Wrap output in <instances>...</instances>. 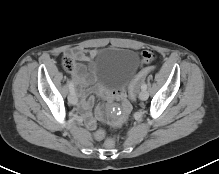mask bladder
I'll return each mask as SVG.
<instances>
[{
  "label": "bladder",
  "mask_w": 219,
  "mask_h": 174,
  "mask_svg": "<svg viewBox=\"0 0 219 174\" xmlns=\"http://www.w3.org/2000/svg\"><path fill=\"white\" fill-rule=\"evenodd\" d=\"M140 58L132 49L114 47L100 52L92 61L91 72L106 90L122 87L138 69Z\"/></svg>",
  "instance_id": "obj_1"
}]
</instances>
